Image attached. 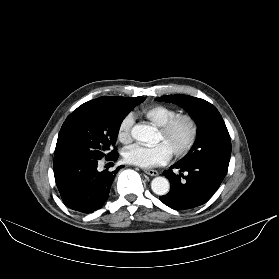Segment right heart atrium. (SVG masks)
Wrapping results in <instances>:
<instances>
[{"label":"right heart atrium","instance_id":"right-heart-atrium-1","mask_svg":"<svg viewBox=\"0 0 279 279\" xmlns=\"http://www.w3.org/2000/svg\"><path fill=\"white\" fill-rule=\"evenodd\" d=\"M134 123L135 119L132 113H127L122 117L117 129V136L121 142L127 143L131 141Z\"/></svg>","mask_w":279,"mask_h":279}]
</instances>
